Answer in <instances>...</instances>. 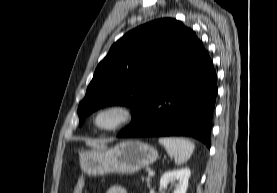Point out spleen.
I'll return each instance as SVG.
<instances>
[{"label":"spleen","instance_id":"obj_1","mask_svg":"<svg viewBox=\"0 0 277 193\" xmlns=\"http://www.w3.org/2000/svg\"><path fill=\"white\" fill-rule=\"evenodd\" d=\"M159 143L162 144L167 153L174 158L177 165L185 163L194 151V144L184 138L162 137L159 138Z\"/></svg>","mask_w":277,"mask_h":193}]
</instances>
